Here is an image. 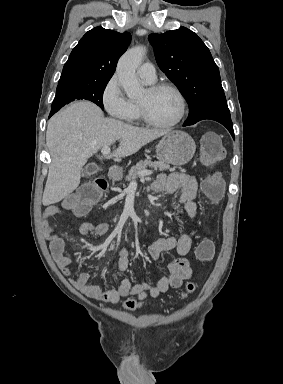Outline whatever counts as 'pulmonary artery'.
Here are the masks:
<instances>
[{
	"instance_id": "1",
	"label": "pulmonary artery",
	"mask_w": 283,
	"mask_h": 384,
	"mask_svg": "<svg viewBox=\"0 0 283 384\" xmlns=\"http://www.w3.org/2000/svg\"><path fill=\"white\" fill-rule=\"evenodd\" d=\"M137 75L149 84L154 83L157 79L155 67L149 62H144L138 67Z\"/></svg>"
}]
</instances>
